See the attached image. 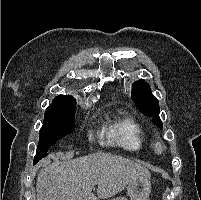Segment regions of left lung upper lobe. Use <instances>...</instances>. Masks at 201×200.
Segmentation results:
<instances>
[{"mask_svg": "<svg viewBox=\"0 0 201 200\" xmlns=\"http://www.w3.org/2000/svg\"><path fill=\"white\" fill-rule=\"evenodd\" d=\"M131 98L144 115L151 117L153 122L162 128L159 118V101L152 95L149 84L142 79L135 82L132 85Z\"/></svg>", "mask_w": 201, "mask_h": 200, "instance_id": "left-lung-upper-lobe-1", "label": "left lung upper lobe"}]
</instances>
